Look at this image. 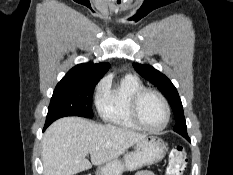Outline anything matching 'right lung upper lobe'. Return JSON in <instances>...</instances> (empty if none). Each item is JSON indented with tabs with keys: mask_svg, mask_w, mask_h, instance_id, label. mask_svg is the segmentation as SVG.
<instances>
[{
	"mask_svg": "<svg viewBox=\"0 0 233 175\" xmlns=\"http://www.w3.org/2000/svg\"><path fill=\"white\" fill-rule=\"evenodd\" d=\"M109 68L110 64L105 62L98 64L91 62L78 64L69 70L60 82H75L92 79L100 80Z\"/></svg>",
	"mask_w": 233,
	"mask_h": 175,
	"instance_id": "right-lung-upper-lobe-1",
	"label": "right lung upper lobe"
}]
</instances>
